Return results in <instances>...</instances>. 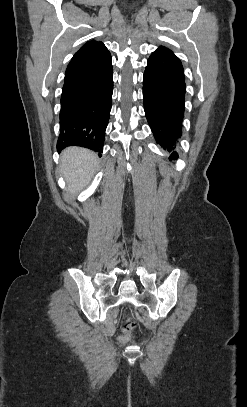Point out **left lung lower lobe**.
Returning a JSON list of instances; mask_svg holds the SVG:
<instances>
[{"label": "left lung lower lobe", "instance_id": "obj_1", "mask_svg": "<svg viewBox=\"0 0 247 407\" xmlns=\"http://www.w3.org/2000/svg\"><path fill=\"white\" fill-rule=\"evenodd\" d=\"M185 89L181 61L172 51L158 48L144 72V109L157 143L170 151L182 134ZM177 157L178 153L171 151L170 158Z\"/></svg>", "mask_w": 247, "mask_h": 407}]
</instances>
